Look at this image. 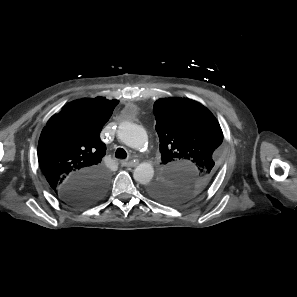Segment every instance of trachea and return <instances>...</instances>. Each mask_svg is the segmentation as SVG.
<instances>
[{"instance_id":"1","label":"trachea","mask_w":297,"mask_h":297,"mask_svg":"<svg viewBox=\"0 0 297 297\" xmlns=\"http://www.w3.org/2000/svg\"><path fill=\"white\" fill-rule=\"evenodd\" d=\"M116 158L125 159L127 157V153L123 148H118L115 153Z\"/></svg>"}]
</instances>
